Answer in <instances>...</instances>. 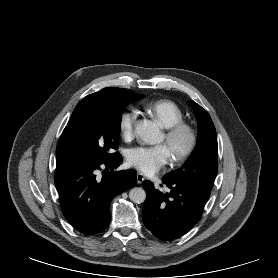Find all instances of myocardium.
<instances>
[{
  "mask_svg": "<svg viewBox=\"0 0 278 278\" xmlns=\"http://www.w3.org/2000/svg\"><path fill=\"white\" fill-rule=\"evenodd\" d=\"M180 139H184V145L175 148L172 153V159L175 162H182L187 159L196 149L198 136L196 130L188 123L181 121L167 129L164 135L166 145L173 146Z\"/></svg>",
  "mask_w": 278,
  "mask_h": 278,
  "instance_id": "myocardium-1",
  "label": "myocardium"
}]
</instances>
